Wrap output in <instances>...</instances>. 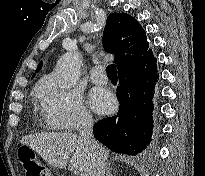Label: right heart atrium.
I'll use <instances>...</instances> for the list:
<instances>
[{
    "label": "right heart atrium",
    "instance_id": "d8ad5b80",
    "mask_svg": "<svg viewBox=\"0 0 205 176\" xmlns=\"http://www.w3.org/2000/svg\"><path fill=\"white\" fill-rule=\"evenodd\" d=\"M39 99L42 114L53 130H74L92 123V115L81 94L61 88L54 77L44 80Z\"/></svg>",
    "mask_w": 205,
    "mask_h": 176
}]
</instances>
